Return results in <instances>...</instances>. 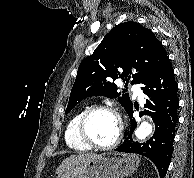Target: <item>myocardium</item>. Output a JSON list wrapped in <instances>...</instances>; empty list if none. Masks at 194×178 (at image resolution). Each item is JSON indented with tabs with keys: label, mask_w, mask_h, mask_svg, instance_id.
Listing matches in <instances>:
<instances>
[{
	"label": "myocardium",
	"mask_w": 194,
	"mask_h": 178,
	"mask_svg": "<svg viewBox=\"0 0 194 178\" xmlns=\"http://www.w3.org/2000/svg\"><path fill=\"white\" fill-rule=\"evenodd\" d=\"M99 111H105V112H109V113L113 114L119 123V131L117 133V136L115 137V139L112 142H110L108 144H98V143L94 142L90 138V136L88 135L87 130H86V124H87V121L90 118V116L96 112H99ZM122 133H123L122 118H121L120 114L118 113V111L110 105H94V106L87 108L83 112V114L81 115V117L78 121V124H77V134H78L79 139L87 146L92 147V148H96V149L106 150V149H111V148L115 147L120 142V140L122 138Z\"/></svg>",
	"instance_id": "obj_1"
}]
</instances>
